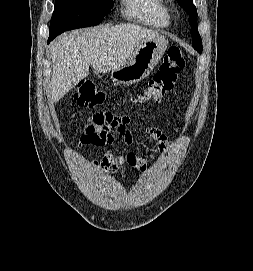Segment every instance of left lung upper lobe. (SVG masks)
Here are the masks:
<instances>
[{
  "label": "left lung upper lobe",
  "mask_w": 253,
  "mask_h": 271,
  "mask_svg": "<svg viewBox=\"0 0 253 271\" xmlns=\"http://www.w3.org/2000/svg\"><path fill=\"white\" fill-rule=\"evenodd\" d=\"M179 5L187 12L189 15V24L192 25L191 36H192V46L199 53L202 52V40L198 33L197 26V9L193 4V0H178Z\"/></svg>",
  "instance_id": "1"
}]
</instances>
